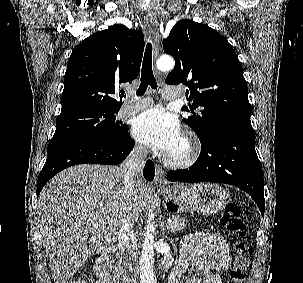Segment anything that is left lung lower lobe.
<instances>
[{"label":"left lung lower lobe","mask_w":303,"mask_h":283,"mask_svg":"<svg viewBox=\"0 0 303 283\" xmlns=\"http://www.w3.org/2000/svg\"><path fill=\"white\" fill-rule=\"evenodd\" d=\"M201 147L199 158L189 169L170 171L167 180L237 186L251 195L263 215L264 180L255 151L254 129L244 125L218 127L201 141Z\"/></svg>","instance_id":"0a47b994"}]
</instances>
